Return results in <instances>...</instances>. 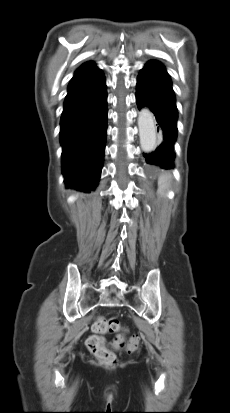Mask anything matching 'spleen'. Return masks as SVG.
Masks as SVG:
<instances>
[{
	"mask_svg": "<svg viewBox=\"0 0 230 413\" xmlns=\"http://www.w3.org/2000/svg\"><path fill=\"white\" fill-rule=\"evenodd\" d=\"M159 186H160V190L159 193L161 195L164 194V191L168 188L169 186V176L167 174L162 175L159 178Z\"/></svg>",
	"mask_w": 230,
	"mask_h": 413,
	"instance_id": "spleen-1",
	"label": "spleen"
}]
</instances>
